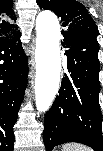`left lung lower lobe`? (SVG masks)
<instances>
[{"mask_svg":"<svg viewBox=\"0 0 103 151\" xmlns=\"http://www.w3.org/2000/svg\"><path fill=\"white\" fill-rule=\"evenodd\" d=\"M63 37V46L68 48V74L45 115L43 141L46 151L67 142H78L95 151H103L98 42L95 37L67 31Z\"/></svg>","mask_w":103,"mask_h":151,"instance_id":"obj_1","label":"left lung lower lobe"}]
</instances>
